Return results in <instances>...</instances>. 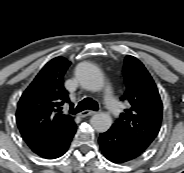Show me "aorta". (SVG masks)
<instances>
[{"label":"aorta","mask_w":184,"mask_h":173,"mask_svg":"<svg viewBox=\"0 0 184 173\" xmlns=\"http://www.w3.org/2000/svg\"><path fill=\"white\" fill-rule=\"evenodd\" d=\"M77 78L85 89L99 91L104 85V79L99 69L91 63H83L77 69ZM110 114L100 112L92 116L90 123L100 133L106 132L112 125Z\"/></svg>","instance_id":"aorta-1"}]
</instances>
